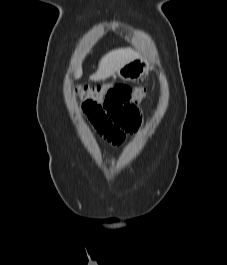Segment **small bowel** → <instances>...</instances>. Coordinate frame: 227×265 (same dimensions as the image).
I'll list each match as a JSON object with an SVG mask.
<instances>
[{"mask_svg":"<svg viewBox=\"0 0 227 265\" xmlns=\"http://www.w3.org/2000/svg\"><path fill=\"white\" fill-rule=\"evenodd\" d=\"M81 107L94 129L106 141L113 145H121L125 141L127 132L114 125L102 102H81Z\"/></svg>","mask_w":227,"mask_h":265,"instance_id":"small-bowel-1","label":"small bowel"}]
</instances>
